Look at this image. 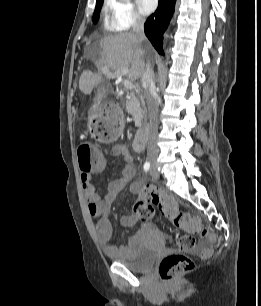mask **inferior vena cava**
Listing matches in <instances>:
<instances>
[{"label":"inferior vena cava","instance_id":"obj_1","mask_svg":"<svg viewBox=\"0 0 261 306\" xmlns=\"http://www.w3.org/2000/svg\"><path fill=\"white\" fill-rule=\"evenodd\" d=\"M133 32L142 42L145 39L144 34V20L141 17H137L132 25ZM143 54V53H142ZM141 83L144 87V95L146 99V105L148 110L149 119V141L147 144V153L149 155L156 154V146L151 140L152 135L158 128V96L155 90L154 72L150 63H146L142 72Z\"/></svg>","mask_w":261,"mask_h":306}]
</instances>
